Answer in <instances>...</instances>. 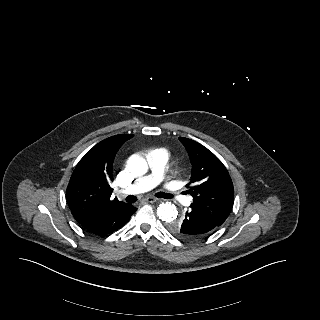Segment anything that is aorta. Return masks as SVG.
I'll list each match as a JSON object with an SVG mask.
<instances>
[{
	"label": "aorta",
	"mask_w": 320,
	"mask_h": 320,
	"mask_svg": "<svg viewBox=\"0 0 320 320\" xmlns=\"http://www.w3.org/2000/svg\"><path fill=\"white\" fill-rule=\"evenodd\" d=\"M127 168L134 176L140 177L147 173V161L140 154H133L127 161ZM157 215L164 223H172L176 220L178 211L170 202L161 203L157 208Z\"/></svg>",
	"instance_id": "1"
}]
</instances>
